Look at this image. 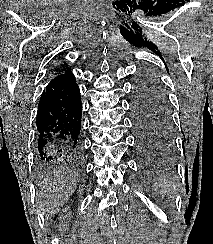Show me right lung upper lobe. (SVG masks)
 Masks as SVG:
<instances>
[{"instance_id": "cb5924a9", "label": "right lung upper lobe", "mask_w": 213, "mask_h": 244, "mask_svg": "<svg viewBox=\"0 0 213 244\" xmlns=\"http://www.w3.org/2000/svg\"><path fill=\"white\" fill-rule=\"evenodd\" d=\"M68 70H70V68L69 69H63L62 71H59V73H58V70H56L57 72L56 73H53L52 75L54 76V75H61V74H63V73H65L66 71H68Z\"/></svg>"}]
</instances>
